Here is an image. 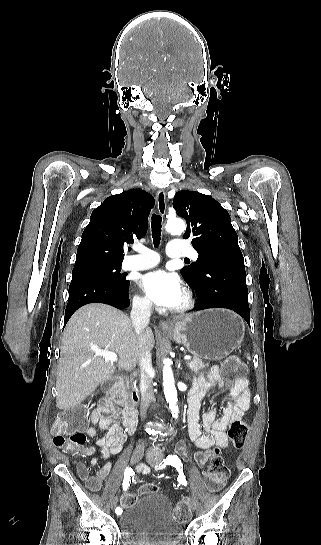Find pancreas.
Returning <instances> with one entry per match:
<instances>
[{
    "label": "pancreas",
    "mask_w": 321,
    "mask_h": 545,
    "mask_svg": "<svg viewBox=\"0 0 321 545\" xmlns=\"http://www.w3.org/2000/svg\"><path fill=\"white\" fill-rule=\"evenodd\" d=\"M187 365L190 371H194L196 375L199 373V371H201V369H204V367H209V363H203L202 359H197V357H194L192 361H188ZM134 391L138 393L137 387H135Z\"/></svg>",
    "instance_id": "pancreas-1"
}]
</instances>
